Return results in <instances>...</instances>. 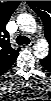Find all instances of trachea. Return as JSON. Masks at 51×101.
Instances as JSON below:
<instances>
[{
  "instance_id": "trachea-1",
  "label": "trachea",
  "mask_w": 51,
  "mask_h": 101,
  "mask_svg": "<svg viewBox=\"0 0 51 101\" xmlns=\"http://www.w3.org/2000/svg\"><path fill=\"white\" fill-rule=\"evenodd\" d=\"M16 42L18 45H23V44H29L30 43V39L26 36H18L16 38Z\"/></svg>"
}]
</instances>
